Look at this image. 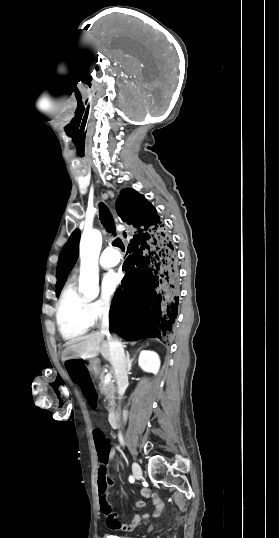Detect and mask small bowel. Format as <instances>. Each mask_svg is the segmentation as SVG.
<instances>
[{"label": "small bowel", "mask_w": 279, "mask_h": 538, "mask_svg": "<svg viewBox=\"0 0 279 538\" xmlns=\"http://www.w3.org/2000/svg\"><path fill=\"white\" fill-rule=\"evenodd\" d=\"M114 456V451L111 449V452H110V457ZM141 493L143 495V497L145 498H152V502H153V507H152V511L149 512V513H146V514H143V515H135L132 520L129 522V523H123L121 522L117 516L115 514H113V516L109 517V518H106V521H107V525L111 528V529H114V530H124V531H132L134 530L138 525L139 523H141L142 521H145L147 519H149L151 516H158L161 512V509H162V501L161 499L155 495V494H151V492L146 489V488H143L141 490ZM145 502L144 501H137L134 503V506L138 509H142L145 507Z\"/></svg>", "instance_id": "obj_1"}]
</instances>
